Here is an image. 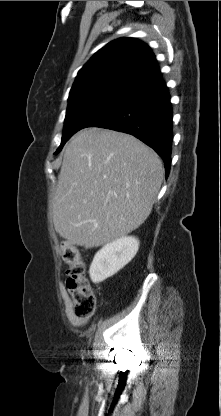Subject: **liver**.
Here are the masks:
<instances>
[{
  "mask_svg": "<svg viewBox=\"0 0 221 416\" xmlns=\"http://www.w3.org/2000/svg\"><path fill=\"white\" fill-rule=\"evenodd\" d=\"M164 168L130 134L96 127L66 146L52 202L56 232L86 249L126 236L150 215Z\"/></svg>",
  "mask_w": 221,
  "mask_h": 416,
  "instance_id": "liver-1",
  "label": "liver"
}]
</instances>
